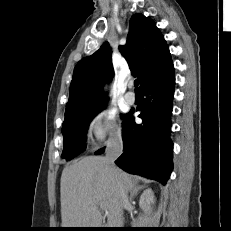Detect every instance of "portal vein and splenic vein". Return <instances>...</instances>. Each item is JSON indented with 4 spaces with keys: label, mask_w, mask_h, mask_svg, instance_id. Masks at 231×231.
Instances as JSON below:
<instances>
[{
    "label": "portal vein and splenic vein",
    "mask_w": 231,
    "mask_h": 231,
    "mask_svg": "<svg viewBox=\"0 0 231 231\" xmlns=\"http://www.w3.org/2000/svg\"><path fill=\"white\" fill-rule=\"evenodd\" d=\"M100 208H102V209H103L102 205H100Z\"/></svg>",
    "instance_id": "1"
}]
</instances>
